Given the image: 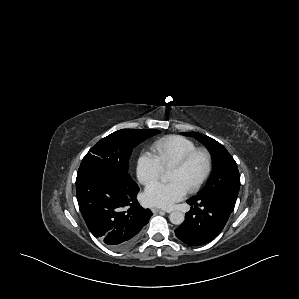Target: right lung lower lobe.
I'll return each mask as SVG.
<instances>
[{
	"label": "right lung lower lobe",
	"instance_id": "obj_1",
	"mask_svg": "<svg viewBox=\"0 0 299 299\" xmlns=\"http://www.w3.org/2000/svg\"><path fill=\"white\" fill-rule=\"evenodd\" d=\"M139 187L126 186L108 172L96 169L77 174L76 193L90 232L116 251L131 248L152 212L136 199Z\"/></svg>",
	"mask_w": 299,
	"mask_h": 299
}]
</instances>
